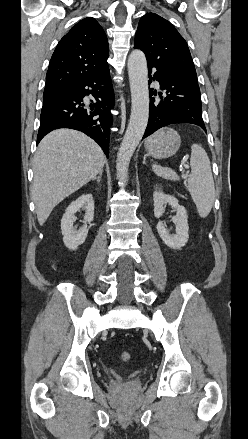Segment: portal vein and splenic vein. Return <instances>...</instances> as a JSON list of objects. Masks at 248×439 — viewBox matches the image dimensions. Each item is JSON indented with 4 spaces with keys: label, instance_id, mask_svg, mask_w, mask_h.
<instances>
[{
    "label": "portal vein and splenic vein",
    "instance_id": "18ae733b",
    "mask_svg": "<svg viewBox=\"0 0 248 439\" xmlns=\"http://www.w3.org/2000/svg\"><path fill=\"white\" fill-rule=\"evenodd\" d=\"M186 168H188V166H185ZM180 171H183V167H180Z\"/></svg>",
    "mask_w": 248,
    "mask_h": 439
}]
</instances>
